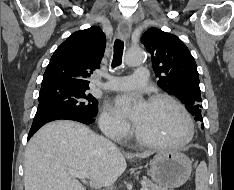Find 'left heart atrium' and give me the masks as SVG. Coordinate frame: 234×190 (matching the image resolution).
<instances>
[{"label":"left heart atrium","instance_id":"obj_1","mask_svg":"<svg viewBox=\"0 0 234 190\" xmlns=\"http://www.w3.org/2000/svg\"><path fill=\"white\" fill-rule=\"evenodd\" d=\"M133 103L136 105L130 116L136 123L147 106V103L144 100L132 96H120L115 100V108L118 113L127 115Z\"/></svg>","mask_w":234,"mask_h":190}]
</instances>
